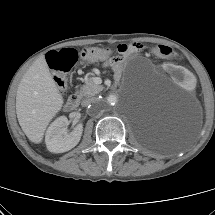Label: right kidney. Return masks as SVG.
I'll return each mask as SVG.
<instances>
[{
  "label": "right kidney",
  "instance_id": "1",
  "mask_svg": "<svg viewBox=\"0 0 215 215\" xmlns=\"http://www.w3.org/2000/svg\"><path fill=\"white\" fill-rule=\"evenodd\" d=\"M68 119L65 116L57 118L48 127L45 136L47 149L53 153H63L74 148L80 141L83 131L82 123L67 132Z\"/></svg>",
  "mask_w": 215,
  "mask_h": 215
}]
</instances>
